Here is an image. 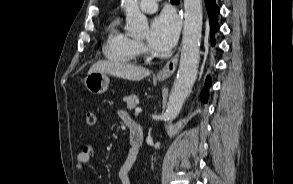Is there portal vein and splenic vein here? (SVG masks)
I'll return each mask as SVG.
<instances>
[{"label":"portal vein and splenic vein","instance_id":"portal-vein-and-splenic-vein-1","mask_svg":"<svg viewBox=\"0 0 293 184\" xmlns=\"http://www.w3.org/2000/svg\"><path fill=\"white\" fill-rule=\"evenodd\" d=\"M142 112V109L141 108H136L135 109V114H139V113H141Z\"/></svg>","mask_w":293,"mask_h":184}]
</instances>
